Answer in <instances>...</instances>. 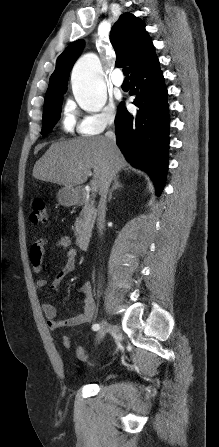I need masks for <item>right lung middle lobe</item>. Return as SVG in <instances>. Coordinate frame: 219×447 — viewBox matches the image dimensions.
I'll return each instance as SVG.
<instances>
[{
    "label": "right lung middle lobe",
    "mask_w": 219,
    "mask_h": 447,
    "mask_svg": "<svg viewBox=\"0 0 219 447\" xmlns=\"http://www.w3.org/2000/svg\"><path fill=\"white\" fill-rule=\"evenodd\" d=\"M63 95L64 93H61L45 99L41 134L49 133L56 125L60 117Z\"/></svg>",
    "instance_id": "right-lung-middle-lobe-1"
}]
</instances>
